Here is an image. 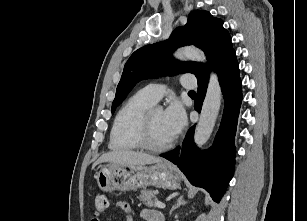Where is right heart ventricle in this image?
Masks as SVG:
<instances>
[{"label":"right heart ventricle","instance_id":"right-heart-ventricle-1","mask_svg":"<svg viewBox=\"0 0 307 221\" xmlns=\"http://www.w3.org/2000/svg\"><path fill=\"white\" fill-rule=\"evenodd\" d=\"M155 103L141 91L131 96L117 112L109 139V148L113 151H131L139 149L137 131L143 114Z\"/></svg>","mask_w":307,"mask_h":221}]
</instances>
